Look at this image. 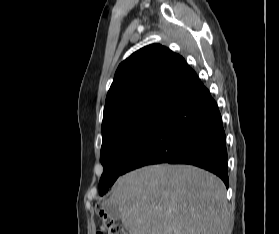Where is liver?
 I'll list each match as a JSON object with an SVG mask.
<instances>
[{
    "label": "liver",
    "instance_id": "1",
    "mask_svg": "<svg viewBox=\"0 0 279 234\" xmlns=\"http://www.w3.org/2000/svg\"><path fill=\"white\" fill-rule=\"evenodd\" d=\"M117 205L129 234H225L224 183L190 165H152L118 178L106 205Z\"/></svg>",
    "mask_w": 279,
    "mask_h": 234
}]
</instances>
